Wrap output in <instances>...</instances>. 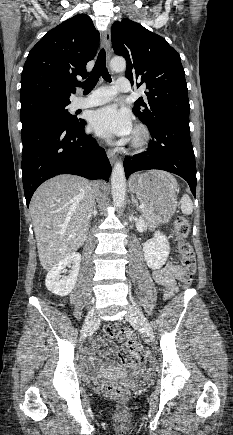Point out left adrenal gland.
Here are the masks:
<instances>
[{"label":"left adrenal gland","instance_id":"obj_1","mask_svg":"<svg viewBox=\"0 0 233 435\" xmlns=\"http://www.w3.org/2000/svg\"><path fill=\"white\" fill-rule=\"evenodd\" d=\"M132 204L136 206V210L139 211V204L138 201L134 198V195H131Z\"/></svg>","mask_w":233,"mask_h":435}]
</instances>
